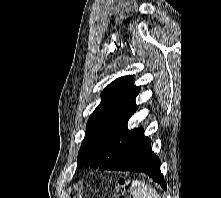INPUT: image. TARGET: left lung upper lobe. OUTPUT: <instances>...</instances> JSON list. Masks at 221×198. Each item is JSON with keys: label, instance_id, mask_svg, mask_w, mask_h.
Returning a JSON list of instances; mask_svg holds the SVG:
<instances>
[{"label": "left lung upper lobe", "instance_id": "obj_1", "mask_svg": "<svg viewBox=\"0 0 221 198\" xmlns=\"http://www.w3.org/2000/svg\"><path fill=\"white\" fill-rule=\"evenodd\" d=\"M140 87L131 76H123L102 92V101L90 116L77 167L99 168L109 156L140 128L129 130V118L138 109L135 97Z\"/></svg>", "mask_w": 221, "mask_h": 198}]
</instances>
